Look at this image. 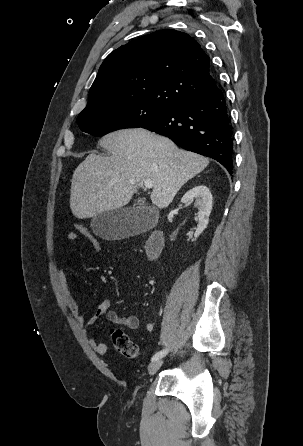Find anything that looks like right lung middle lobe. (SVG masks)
<instances>
[{"mask_svg":"<svg viewBox=\"0 0 303 446\" xmlns=\"http://www.w3.org/2000/svg\"><path fill=\"white\" fill-rule=\"evenodd\" d=\"M171 108L146 102L115 103L83 110L77 123L82 131L103 136L118 129L142 127Z\"/></svg>","mask_w":303,"mask_h":446,"instance_id":"dd1d6c3e","label":"right lung middle lobe"}]
</instances>
